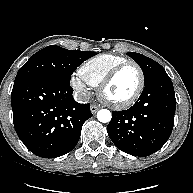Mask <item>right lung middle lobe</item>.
<instances>
[{"label": "right lung middle lobe", "mask_w": 193, "mask_h": 193, "mask_svg": "<svg viewBox=\"0 0 193 193\" xmlns=\"http://www.w3.org/2000/svg\"><path fill=\"white\" fill-rule=\"evenodd\" d=\"M91 51L67 50L51 45L34 55L22 66L14 83L28 78H49L66 84H70L74 70L85 60L96 55Z\"/></svg>", "instance_id": "right-lung-middle-lobe-1"}]
</instances>
